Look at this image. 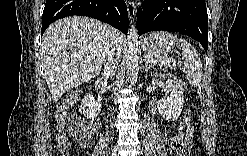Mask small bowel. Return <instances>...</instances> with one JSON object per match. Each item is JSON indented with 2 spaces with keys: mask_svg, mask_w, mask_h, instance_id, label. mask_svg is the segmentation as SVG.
I'll list each match as a JSON object with an SVG mask.
<instances>
[{
  "mask_svg": "<svg viewBox=\"0 0 247 156\" xmlns=\"http://www.w3.org/2000/svg\"><path fill=\"white\" fill-rule=\"evenodd\" d=\"M193 142V130L192 127L190 126L188 130L182 134L179 135L178 133L172 135L171 137V150L176 151L178 148H183L186 151H188Z\"/></svg>",
  "mask_w": 247,
  "mask_h": 156,
  "instance_id": "small-bowel-1",
  "label": "small bowel"
}]
</instances>
